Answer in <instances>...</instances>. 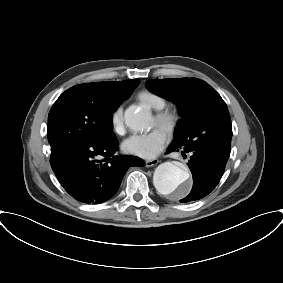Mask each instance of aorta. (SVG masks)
<instances>
[{
    "mask_svg": "<svg viewBox=\"0 0 283 283\" xmlns=\"http://www.w3.org/2000/svg\"><path fill=\"white\" fill-rule=\"evenodd\" d=\"M124 118L127 126L134 131L146 129L151 122V114L136 106L127 108ZM189 178L187 168L166 162L156 168L153 183L160 194L180 198L185 196L190 189Z\"/></svg>",
    "mask_w": 283,
    "mask_h": 283,
    "instance_id": "aorta-1",
    "label": "aorta"
}]
</instances>
